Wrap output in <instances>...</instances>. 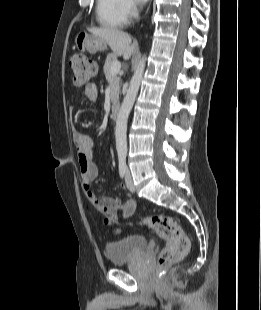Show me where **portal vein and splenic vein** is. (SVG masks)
Returning a JSON list of instances; mask_svg holds the SVG:
<instances>
[{"label": "portal vein and splenic vein", "mask_w": 261, "mask_h": 310, "mask_svg": "<svg viewBox=\"0 0 261 310\" xmlns=\"http://www.w3.org/2000/svg\"><path fill=\"white\" fill-rule=\"evenodd\" d=\"M120 69H121V63L119 61H116L112 64L110 71L112 75H115L120 71Z\"/></svg>", "instance_id": "1"}]
</instances>
